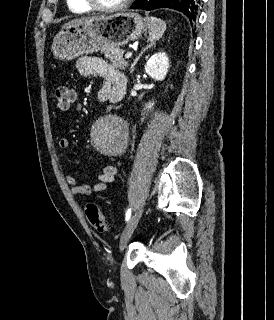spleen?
<instances>
[{
  "label": "spleen",
  "instance_id": "obj_1",
  "mask_svg": "<svg viewBox=\"0 0 274 320\" xmlns=\"http://www.w3.org/2000/svg\"><path fill=\"white\" fill-rule=\"evenodd\" d=\"M145 22L148 26L150 42H153V40H159V38L164 34L165 22L160 20V18H153V16L145 18Z\"/></svg>",
  "mask_w": 274,
  "mask_h": 320
}]
</instances>
